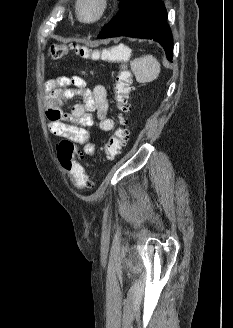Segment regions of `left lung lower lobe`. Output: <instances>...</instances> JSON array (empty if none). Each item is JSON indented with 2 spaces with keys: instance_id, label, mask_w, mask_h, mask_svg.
Wrapping results in <instances>:
<instances>
[{
  "instance_id": "left-lung-lower-lobe-1",
  "label": "left lung lower lobe",
  "mask_w": 233,
  "mask_h": 328,
  "mask_svg": "<svg viewBox=\"0 0 233 328\" xmlns=\"http://www.w3.org/2000/svg\"><path fill=\"white\" fill-rule=\"evenodd\" d=\"M119 36L153 39L163 46L168 60H172L173 38L160 0H126L97 38Z\"/></svg>"
}]
</instances>
